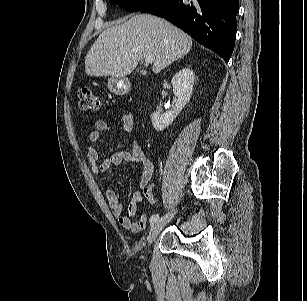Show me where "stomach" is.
<instances>
[{
    "mask_svg": "<svg viewBox=\"0 0 307 301\" xmlns=\"http://www.w3.org/2000/svg\"><path fill=\"white\" fill-rule=\"evenodd\" d=\"M107 87L111 92L122 95L129 91L130 84L124 77H111L108 80Z\"/></svg>",
    "mask_w": 307,
    "mask_h": 301,
    "instance_id": "obj_1",
    "label": "stomach"
}]
</instances>
